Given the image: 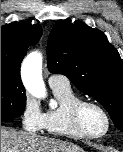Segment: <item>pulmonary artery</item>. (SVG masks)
<instances>
[{"label":"pulmonary artery","instance_id":"obj_1","mask_svg":"<svg viewBox=\"0 0 123 152\" xmlns=\"http://www.w3.org/2000/svg\"><path fill=\"white\" fill-rule=\"evenodd\" d=\"M48 83L51 88L70 87L69 79L61 74H52L48 78Z\"/></svg>","mask_w":123,"mask_h":152}]
</instances>
